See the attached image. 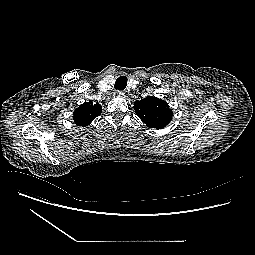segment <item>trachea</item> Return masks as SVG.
Segmentation results:
<instances>
[{
    "label": "trachea",
    "mask_w": 255,
    "mask_h": 255,
    "mask_svg": "<svg viewBox=\"0 0 255 255\" xmlns=\"http://www.w3.org/2000/svg\"><path fill=\"white\" fill-rule=\"evenodd\" d=\"M126 86H127V78L125 76H120L117 78L114 88L116 90L122 91L126 88Z\"/></svg>",
    "instance_id": "trachea-1"
}]
</instances>
